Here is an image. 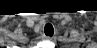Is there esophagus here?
<instances>
[{
	"label": "esophagus",
	"mask_w": 97,
	"mask_h": 48,
	"mask_svg": "<svg viewBox=\"0 0 97 48\" xmlns=\"http://www.w3.org/2000/svg\"><path fill=\"white\" fill-rule=\"evenodd\" d=\"M42 38L45 40H52L53 39V37H50V36H43Z\"/></svg>",
	"instance_id": "esophagus-1"
}]
</instances>
